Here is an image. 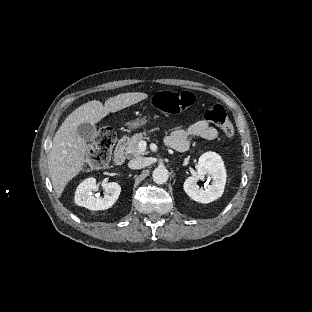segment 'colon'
<instances>
[{
	"instance_id": "colon-1",
	"label": "colon",
	"mask_w": 312,
	"mask_h": 312,
	"mask_svg": "<svg viewBox=\"0 0 312 312\" xmlns=\"http://www.w3.org/2000/svg\"><path fill=\"white\" fill-rule=\"evenodd\" d=\"M154 103L161 112L179 114L194 103V96L189 91L177 93L161 91L157 93ZM203 117L207 123L219 127L227 137H234V127L222 106L216 105L205 111ZM115 140L116 135L111 127H100L95 135L94 147L86 157L88 165L96 168L106 165L110 160Z\"/></svg>"
}]
</instances>
